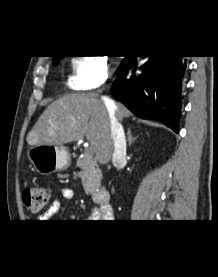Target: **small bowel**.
Returning <instances> with one entry per match:
<instances>
[{
	"label": "small bowel",
	"mask_w": 218,
	"mask_h": 277,
	"mask_svg": "<svg viewBox=\"0 0 218 277\" xmlns=\"http://www.w3.org/2000/svg\"><path fill=\"white\" fill-rule=\"evenodd\" d=\"M76 196L75 191L73 189H63L60 192V197L55 199L52 204L50 205V207L47 209V211H45L44 214H42L41 219L42 220H47L49 218H51L52 216H54L56 213H58L62 207V199L65 200H72L74 199ZM92 218H99L98 215H92Z\"/></svg>",
	"instance_id": "obj_1"
}]
</instances>
